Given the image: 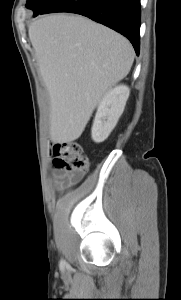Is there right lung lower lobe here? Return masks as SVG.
Returning <instances> with one entry per match:
<instances>
[{"label":"right lung lower lobe","mask_w":181,"mask_h":300,"mask_svg":"<svg viewBox=\"0 0 181 300\" xmlns=\"http://www.w3.org/2000/svg\"><path fill=\"white\" fill-rule=\"evenodd\" d=\"M71 12L84 15L121 33L139 54L140 0H56L40 14Z\"/></svg>","instance_id":"right-lung-lower-lobe-1"}]
</instances>
